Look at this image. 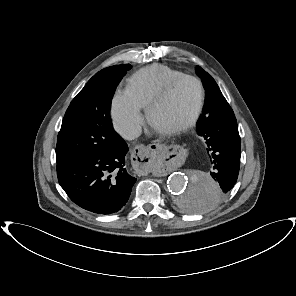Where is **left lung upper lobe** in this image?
<instances>
[{"label":"left lung upper lobe","mask_w":296,"mask_h":296,"mask_svg":"<svg viewBox=\"0 0 296 296\" xmlns=\"http://www.w3.org/2000/svg\"><path fill=\"white\" fill-rule=\"evenodd\" d=\"M196 73L202 79L203 86L206 90V100H205L204 109L201 115V117H204L209 113L210 110L213 109L215 105L225 100V98L223 97L215 80L200 66L196 67ZM201 117L199 118L197 125L200 124V120H202ZM185 208L187 209V207ZM187 210H191V209H187Z\"/></svg>","instance_id":"left-lung-upper-lobe-1"}]
</instances>
